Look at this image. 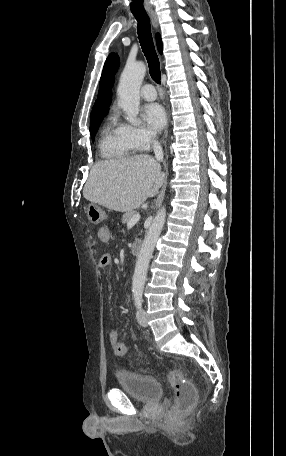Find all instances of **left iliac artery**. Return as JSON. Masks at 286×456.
Masks as SVG:
<instances>
[{"mask_svg": "<svg viewBox=\"0 0 286 456\" xmlns=\"http://www.w3.org/2000/svg\"><path fill=\"white\" fill-rule=\"evenodd\" d=\"M142 290H135L134 291V299H135V305L137 308H141L142 305Z\"/></svg>", "mask_w": 286, "mask_h": 456, "instance_id": "44dca946", "label": "left iliac artery"}]
</instances>
